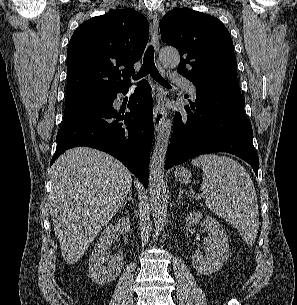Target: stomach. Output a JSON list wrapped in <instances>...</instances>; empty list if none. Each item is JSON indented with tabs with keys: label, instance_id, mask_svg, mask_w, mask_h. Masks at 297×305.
Returning a JSON list of instances; mask_svg holds the SVG:
<instances>
[{
	"label": "stomach",
	"instance_id": "0dacf381",
	"mask_svg": "<svg viewBox=\"0 0 297 305\" xmlns=\"http://www.w3.org/2000/svg\"><path fill=\"white\" fill-rule=\"evenodd\" d=\"M175 178L184 184H187L191 181V173L184 167H178L175 170Z\"/></svg>",
	"mask_w": 297,
	"mask_h": 305
}]
</instances>
